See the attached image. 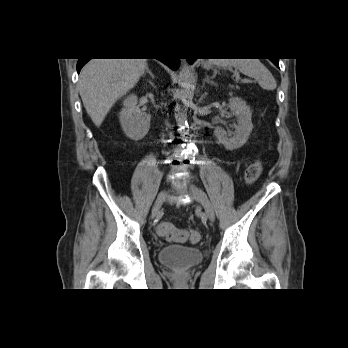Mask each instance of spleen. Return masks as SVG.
<instances>
[{"label": "spleen", "instance_id": "3e777b00", "mask_svg": "<svg viewBox=\"0 0 348 348\" xmlns=\"http://www.w3.org/2000/svg\"><path fill=\"white\" fill-rule=\"evenodd\" d=\"M211 63L222 68L234 67L244 75L256 79L265 90H274L277 87L271 72L258 59H212Z\"/></svg>", "mask_w": 348, "mask_h": 348}]
</instances>
